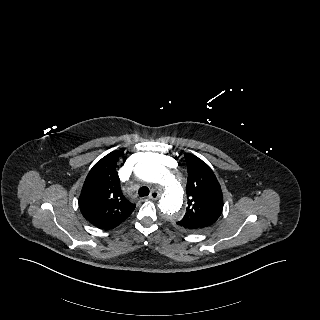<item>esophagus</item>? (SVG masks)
<instances>
[{
    "label": "esophagus",
    "instance_id": "obj_1",
    "mask_svg": "<svg viewBox=\"0 0 320 320\" xmlns=\"http://www.w3.org/2000/svg\"><path fill=\"white\" fill-rule=\"evenodd\" d=\"M159 196H160V193L157 192V191H155V190H153V191H151V193H150V195L148 196V198H149L150 200H156V199L159 198Z\"/></svg>",
    "mask_w": 320,
    "mask_h": 320
}]
</instances>
